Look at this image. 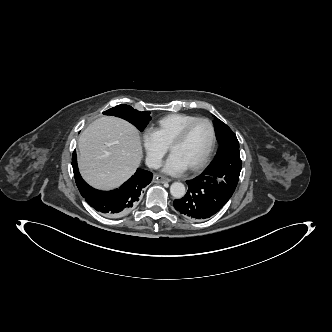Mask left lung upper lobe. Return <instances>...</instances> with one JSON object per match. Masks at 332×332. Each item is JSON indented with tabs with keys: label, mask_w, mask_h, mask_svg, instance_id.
Listing matches in <instances>:
<instances>
[{
	"label": "left lung upper lobe",
	"mask_w": 332,
	"mask_h": 332,
	"mask_svg": "<svg viewBox=\"0 0 332 332\" xmlns=\"http://www.w3.org/2000/svg\"><path fill=\"white\" fill-rule=\"evenodd\" d=\"M214 126L220 148L215 159L200 176L215 189L231 198L238 184L242 167L240 156L235 152L239 149V142L233 131L221 120L216 119ZM218 179L222 181L218 182Z\"/></svg>",
	"instance_id": "5c2ea615"
}]
</instances>
